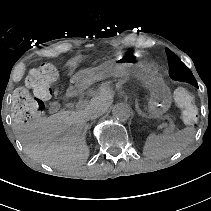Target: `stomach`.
<instances>
[{
    "label": "stomach",
    "instance_id": "stomach-1",
    "mask_svg": "<svg viewBox=\"0 0 211 211\" xmlns=\"http://www.w3.org/2000/svg\"><path fill=\"white\" fill-rule=\"evenodd\" d=\"M109 77L121 78L122 81L132 77L141 80L150 91L149 113L155 118L161 117L171 105V92L162 77L141 66L122 63L86 69L74 77V82L81 87H87Z\"/></svg>",
    "mask_w": 211,
    "mask_h": 211
}]
</instances>
